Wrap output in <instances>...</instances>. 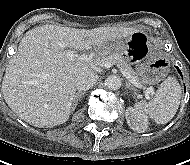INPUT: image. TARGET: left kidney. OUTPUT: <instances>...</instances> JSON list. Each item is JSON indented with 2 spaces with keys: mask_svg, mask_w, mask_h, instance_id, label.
<instances>
[{
  "mask_svg": "<svg viewBox=\"0 0 190 165\" xmlns=\"http://www.w3.org/2000/svg\"><path fill=\"white\" fill-rule=\"evenodd\" d=\"M127 124L130 128L138 133H143L148 128V117L137 111L136 109L129 107L125 112Z\"/></svg>",
  "mask_w": 190,
  "mask_h": 165,
  "instance_id": "left-kidney-1",
  "label": "left kidney"
}]
</instances>
